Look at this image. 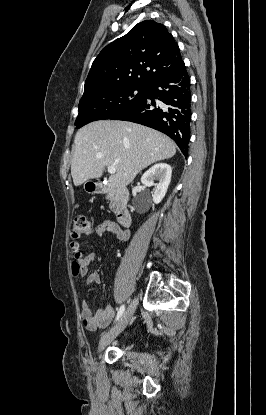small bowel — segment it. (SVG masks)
I'll return each mask as SVG.
<instances>
[{
	"instance_id": "obj_1",
	"label": "small bowel",
	"mask_w": 266,
	"mask_h": 415,
	"mask_svg": "<svg viewBox=\"0 0 266 415\" xmlns=\"http://www.w3.org/2000/svg\"><path fill=\"white\" fill-rule=\"evenodd\" d=\"M106 233L114 235L119 241L126 242L130 238V233L127 230L121 229L117 224L110 220L102 221L96 227V234L103 236ZM72 255L81 265L80 275L85 276L87 273L88 266L95 261L96 255L90 253L85 257L82 256L80 244L78 242H72L70 244ZM101 282L100 274L97 270L91 271L86 277V284H98ZM115 315V310L110 305H105L92 313L90 306L87 301L81 302V318L84 326L89 330H95L97 328L105 327Z\"/></svg>"
}]
</instances>
